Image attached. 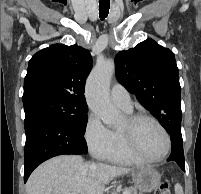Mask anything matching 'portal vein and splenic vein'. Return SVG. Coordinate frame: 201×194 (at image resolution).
<instances>
[{"label": "portal vein and splenic vein", "instance_id": "portal-vein-and-splenic-vein-1", "mask_svg": "<svg viewBox=\"0 0 201 194\" xmlns=\"http://www.w3.org/2000/svg\"><path fill=\"white\" fill-rule=\"evenodd\" d=\"M70 194H76L75 192H73V193H70ZM123 194H128V192L127 191H125Z\"/></svg>", "mask_w": 201, "mask_h": 194}]
</instances>
